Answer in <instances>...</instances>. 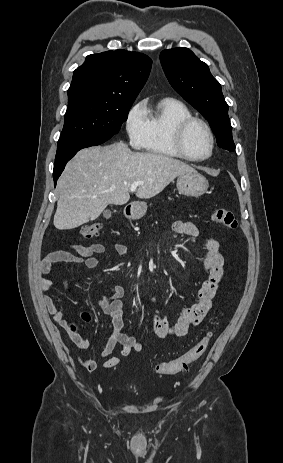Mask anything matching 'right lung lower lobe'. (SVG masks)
<instances>
[{
  "instance_id": "1",
  "label": "right lung lower lobe",
  "mask_w": 283,
  "mask_h": 463,
  "mask_svg": "<svg viewBox=\"0 0 283 463\" xmlns=\"http://www.w3.org/2000/svg\"><path fill=\"white\" fill-rule=\"evenodd\" d=\"M108 139H90L73 142L70 144L57 147L56 159L54 164L53 178L54 185L56 186L57 179L65 168L66 163L74 157V155L81 149L96 146L104 143Z\"/></svg>"
}]
</instances>
